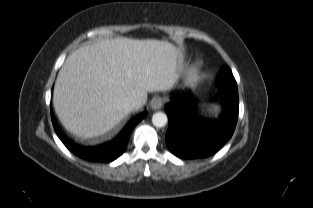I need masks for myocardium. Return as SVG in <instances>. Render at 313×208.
<instances>
[{
    "label": "myocardium",
    "mask_w": 313,
    "mask_h": 208,
    "mask_svg": "<svg viewBox=\"0 0 313 208\" xmlns=\"http://www.w3.org/2000/svg\"><path fill=\"white\" fill-rule=\"evenodd\" d=\"M197 73H198V64H196L195 66H193L187 71V74H186L187 80L189 82L193 81L196 78Z\"/></svg>",
    "instance_id": "myocardium-1"
}]
</instances>
